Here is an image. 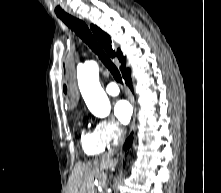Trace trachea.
<instances>
[{"label": "trachea", "instance_id": "3493384b", "mask_svg": "<svg viewBox=\"0 0 221 193\" xmlns=\"http://www.w3.org/2000/svg\"><path fill=\"white\" fill-rule=\"evenodd\" d=\"M58 17L78 35L89 48L98 55L102 63L108 68L118 83H122V78L118 68L111 61L109 56L104 52L102 47L97 43L88 26L82 20L69 14L58 15Z\"/></svg>", "mask_w": 221, "mask_h": 193}]
</instances>
